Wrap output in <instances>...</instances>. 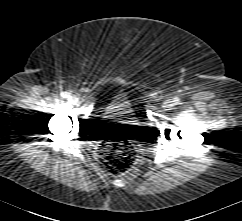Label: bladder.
Masks as SVG:
<instances>
[{
    "label": "bladder",
    "instance_id": "31cf9c89",
    "mask_svg": "<svg viewBox=\"0 0 242 221\" xmlns=\"http://www.w3.org/2000/svg\"><path fill=\"white\" fill-rule=\"evenodd\" d=\"M131 106H129L126 102L117 101L110 103L108 105V109L111 114H122L127 113L129 110H131Z\"/></svg>",
    "mask_w": 242,
    "mask_h": 221
}]
</instances>
